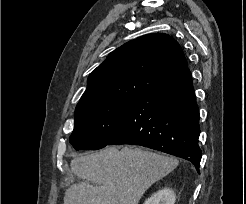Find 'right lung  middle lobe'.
Returning <instances> with one entry per match:
<instances>
[{
    "label": "right lung middle lobe",
    "mask_w": 246,
    "mask_h": 204,
    "mask_svg": "<svg viewBox=\"0 0 246 204\" xmlns=\"http://www.w3.org/2000/svg\"><path fill=\"white\" fill-rule=\"evenodd\" d=\"M137 97H106L78 103L69 142L76 150H97L109 145Z\"/></svg>",
    "instance_id": "right-lung-middle-lobe-1"
}]
</instances>
